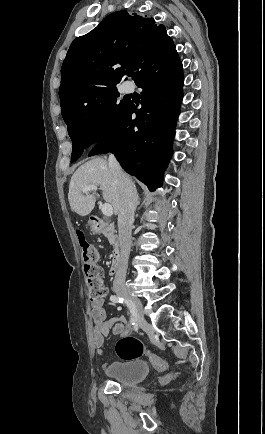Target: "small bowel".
<instances>
[{"mask_svg":"<svg viewBox=\"0 0 265 434\" xmlns=\"http://www.w3.org/2000/svg\"><path fill=\"white\" fill-rule=\"evenodd\" d=\"M91 315L94 321V329L92 334L93 345L96 348L98 354L103 356L102 347L108 334L113 331L115 334L125 335L129 329L124 316L112 317L109 319L107 318V311L104 308L103 299H92ZM167 368L168 362L159 358L158 370H166Z\"/></svg>","mask_w":265,"mask_h":434,"instance_id":"c3829d8e","label":"small bowel"}]
</instances>
